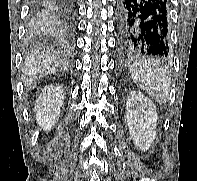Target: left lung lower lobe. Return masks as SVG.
Returning a JSON list of instances; mask_svg holds the SVG:
<instances>
[{"label":"left lung lower lobe","mask_w":197,"mask_h":181,"mask_svg":"<svg viewBox=\"0 0 197 181\" xmlns=\"http://www.w3.org/2000/svg\"><path fill=\"white\" fill-rule=\"evenodd\" d=\"M168 0H119L118 52L122 57L167 56Z\"/></svg>","instance_id":"left-lung-lower-lobe-1"}]
</instances>
